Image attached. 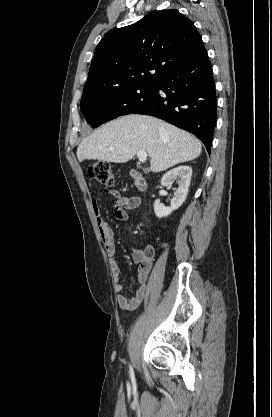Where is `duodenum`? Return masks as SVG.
<instances>
[{"label":"duodenum","mask_w":272,"mask_h":417,"mask_svg":"<svg viewBox=\"0 0 272 417\" xmlns=\"http://www.w3.org/2000/svg\"><path fill=\"white\" fill-rule=\"evenodd\" d=\"M131 176L134 180V184H135L136 188L140 191L144 190L146 184H145V180L142 177V175L140 173H138L137 171H132Z\"/></svg>","instance_id":"obj_1"}]
</instances>
